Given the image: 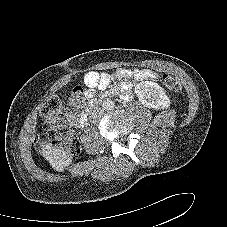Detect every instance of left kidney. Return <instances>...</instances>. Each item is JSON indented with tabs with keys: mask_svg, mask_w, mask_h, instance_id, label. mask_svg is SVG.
Here are the masks:
<instances>
[{
	"mask_svg": "<svg viewBox=\"0 0 227 227\" xmlns=\"http://www.w3.org/2000/svg\"><path fill=\"white\" fill-rule=\"evenodd\" d=\"M139 101L148 108L164 109L171 104L164 89L153 81H143L135 86Z\"/></svg>",
	"mask_w": 227,
	"mask_h": 227,
	"instance_id": "obj_1",
	"label": "left kidney"
}]
</instances>
